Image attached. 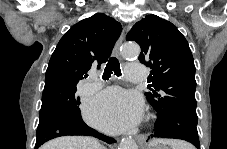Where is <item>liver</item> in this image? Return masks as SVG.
Wrapping results in <instances>:
<instances>
[{"instance_id":"1","label":"liver","mask_w":227,"mask_h":149,"mask_svg":"<svg viewBox=\"0 0 227 149\" xmlns=\"http://www.w3.org/2000/svg\"><path fill=\"white\" fill-rule=\"evenodd\" d=\"M41 149H104V147L91 137L64 136L49 141Z\"/></svg>"}]
</instances>
